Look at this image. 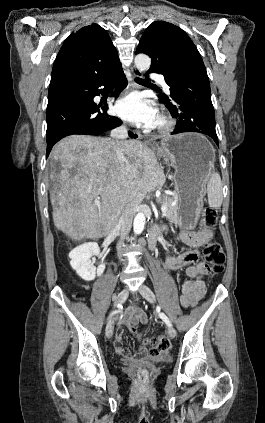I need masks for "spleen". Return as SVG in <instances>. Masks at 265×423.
Wrapping results in <instances>:
<instances>
[{
	"instance_id": "3e777b00",
	"label": "spleen",
	"mask_w": 265,
	"mask_h": 423,
	"mask_svg": "<svg viewBox=\"0 0 265 423\" xmlns=\"http://www.w3.org/2000/svg\"><path fill=\"white\" fill-rule=\"evenodd\" d=\"M208 203L211 208H220L222 195V182L218 173H213L207 183Z\"/></svg>"
}]
</instances>
